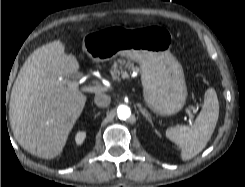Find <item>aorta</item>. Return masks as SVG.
<instances>
[{
    "label": "aorta",
    "instance_id": "1",
    "mask_svg": "<svg viewBox=\"0 0 245 187\" xmlns=\"http://www.w3.org/2000/svg\"><path fill=\"white\" fill-rule=\"evenodd\" d=\"M117 115L119 117V119H122V120H126L127 118L130 117L131 115V110L128 106L126 105H120L118 108H117Z\"/></svg>",
    "mask_w": 245,
    "mask_h": 187
}]
</instances>
